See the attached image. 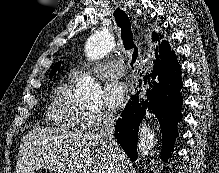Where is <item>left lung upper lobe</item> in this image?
I'll return each instance as SVG.
<instances>
[{
  "mask_svg": "<svg viewBox=\"0 0 219 173\" xmlns=\"http://www.w3.org/2000/svg\"><path fill=\"white\" fill-rule=\"evenodd\" d=\"M60 67V64L57 63L54 65L52 71H51V74H50V78L56 73L57 69Z\"/></svg>",
  "mask_w": 219,
  "mask_h": 173,
  "instance_id": "left-lung-upper-lobe-1",
  "label": "left lung upper lobe"
}]
</instances>
